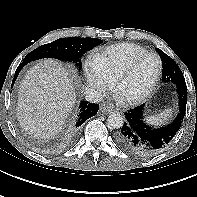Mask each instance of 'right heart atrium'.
<instances>
[{"label": "right heart atrium", "mask_w": 197, "mask_h": 197, "mask_svg": "<svg viewBox=\"0 0 197 197\" xmlns=\"http://www.w3.org/2000/svg\"><path fill=\"white\" fill-rule=\"evenodd\" d=\"M85 77L87 86L95 97L105 95L112 86V80L95 69L92 65L86 68Z\"/></svg>", "instance_id": "obj_1"}]
</instances>
